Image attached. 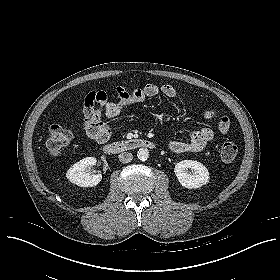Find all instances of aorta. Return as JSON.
Listing matches in <instances>:
<instances>
[{
  "label": "aorta",
  "instance_id": "aorta-1",
  "mask_svg": "<svg viewBox=\"0 0 280 280\" xmlns=\"http://www.w3.org/2000/svg\"><path fill=\"white\" fill-rule=\"evenodd\" d=\"M137 157L140 161H146L149 158V151L147 148H140L137 151Z\"/></svg>",
  "mask_w": 280,
  "mask_h": 280
}]
</instances>
